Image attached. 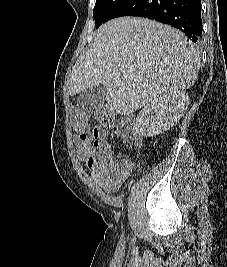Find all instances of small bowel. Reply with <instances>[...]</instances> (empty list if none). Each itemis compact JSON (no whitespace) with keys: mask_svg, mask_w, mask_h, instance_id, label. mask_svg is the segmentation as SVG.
Masks as SVG:
<instances>
[{"mask_svg":"<svg viewBox=\"0 0 227 267\" xmlns=\"http://www.w3.org/2000/svg\"><path fill=\"white\" fill-rule=\"evenodd\" d=\"M77 131L75 139L77 156L84 161L95 182L103 185L106 190H111V184L124 179L133 170L132 162L122 161L116 167L114 175L107 177L105 169L110 156V151L106 147L107 132L99 127H94L88 132ZM113 131L120 134L118 127H114Z\"/></svg>","mask_w":227,"mask_h":267,"instance_id":"1","label":"small bowel"}]
</instances>
